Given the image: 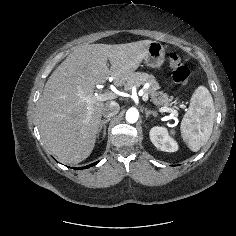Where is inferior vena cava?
Wrapping results in <instances>:
<instances>
[{"label":"inferior vena cava","mask_w":236,"mask_h":236,"mask_svg":"<svg viewBox=\"0 0 236 236\" xmlns=\"http://www.w3.org/2000/svg\"><path fill=\"white\" fill-rule=\"evenodd\" d=\"M120 106L115 101L106 102L102 108V115L104 117L110 118L118 114Z\"/></svg>","instance_id":"obj_1"}]
</instances>
